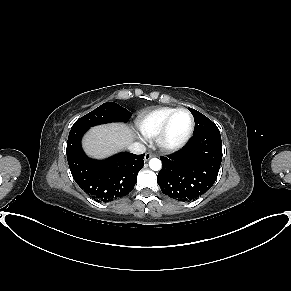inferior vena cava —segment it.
<instances>
[{
    "instance_id": "1",
    "label": "inferior vena cava",
    "mask_w": 291,
    "mask_h": 291,
    "mask_svg": "<svg viewBox=\"0 0 291 291\" xmlns=\"http://www.w3.org/2000/svg\"><path fill=\"white\" fill-rule=\"evenodd\" d=\"M128 150L134 154H142L146 151V147L141 143H132L128 146Z\"/></svg>"
}]
</instances>
